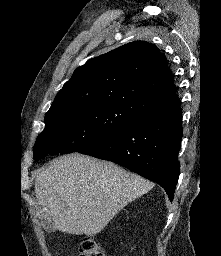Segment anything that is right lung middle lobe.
I'll return each instance as SVG.
<instances>
[{
  "instance_id": "right-lung-middle-lobe-1",
  "label": "right lung middle lobe",
  "mask_w": 221,
  "mask_h": 256,
  "mask_svg": "<svg viewBox=\"0 0 221 256\" xmlns=\"http://www.w3.org/2000/svg\"><path fill=\"white\" fill-rule=\"evenodd\" d=\"M138 114L114 104H98L47 113L37 137L34 159L47 154L78 152L110 132L134 122Z\"/></svg>"
}]
</instances>
